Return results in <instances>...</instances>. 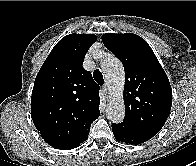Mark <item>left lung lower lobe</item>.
<instances>
[{
	"label": "left lung lower lobe",
	"instance_id": "0a47b994",
	"mask_svg": "<svg viewBox=\"0 0 196 166\" xmlns=\"http://www.w3.org/2000/svg\"><path fill=\"white\" fill-rule=\"evenodd\" d=\"M112 131L117 140L131 145L143 143L153 137L152 135L131 129L122 123L112 124Z\"/></svg>",
	"mask_w": 196,
	"mask_h": 166
}]
</instances>
